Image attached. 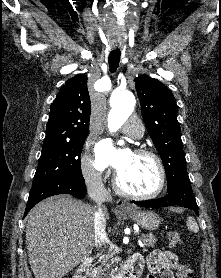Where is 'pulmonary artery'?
I'll use <instances>...</instances> for the list:
<instances>
[{
	"mask_svg": "<svg viewBox=\"0 0 221 278\" xmlns=\"http://www.w3.org/2000/svg\"><path fill=\"white\" fill-rule=\"evenodd\" d=\"M122 132L134 139H139L143 136L144 127L138 120L129 119L123 126Z\"/></svg>",
	"mask_w": 221,
	"mask_h": 278,
	"instance_id": "pulmonary-artery-1",
	"label": "pulmonary artery"
}]
</instances>
